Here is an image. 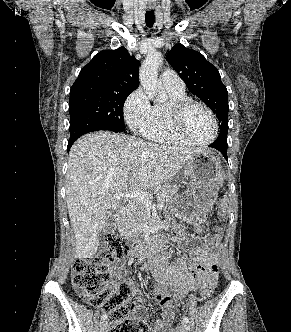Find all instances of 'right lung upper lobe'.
I'll list each match as a JSON object with an SVG mask.
<instances>
[{
	"label": "right lung upper lobe",
	"mask_w": 291,
	"mask_h": 332,
	"mask_svg": "<svg viewBox=\"0 0 291 332\" xmlns=\"http://www.w3.org/2000/svg\"><path fill=\"white\" fill-rule=\"evenodd\" d=\"M139 85V62L124 47L104 50L82 68L70 98L106 92H132Z\"/></svg>",
	"instance_id": "1"
}]
</instances>
